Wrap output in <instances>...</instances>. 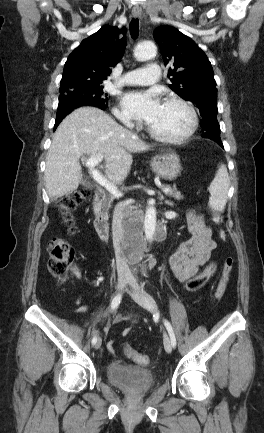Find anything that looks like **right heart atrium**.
Masks as SVG:
<instances>
[{"mask_svg": "<svg viewBox=\"0 0 264 433\" xmlns=\"http://www.w3.org/2000/svg\"><path fill=\"white\" fill-rule=\"evenodd\" d=\"M114 114L120 122L127 124V125L133 124L132 117L130 116V114L127 111L119 109V108H115Z\"/></svg>", "mask_w": 264, "mask_h": 433, "instance_id": "right-heart-atrium-1", "label": "right heart atrium"}]
</instances>
